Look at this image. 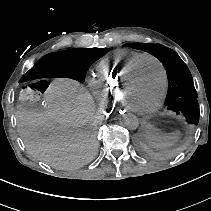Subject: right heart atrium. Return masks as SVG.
I'll return each mask as SVG.
<instances>
[{
  "label": "right heart atrium",
  "mask_w": 211,
  "mask_h": 211,
  "mask_svg": "<svg viewBox=\"0 0 211 211\" xmlns=\"http://www.w3.org/2000/svg\"><path fill=\"white\" fill-rule=\"evenodd\" d=\"M90 86H91V88H92V90H93V92H94L95 97L97 98V100H98L100 103H103L102 96H101V94H100L99 88H98V86H97L95 80H92V81L90 82Z\"/></svg>",
  "instance_id": "d8ad5b80"
}]
</instances>
